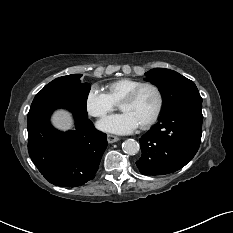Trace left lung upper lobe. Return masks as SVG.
Returning <instances> with one entry per match:
<instances>
[{
  "label": "left lung upper lobe",
  "instance_id": "left-lung-upper-lobe-1",
  "mask_svg": "<svg viewBox=\"0 0 233 233\" xmlns=\"http://www.w3.org/2000/svg\"><path fill=\"white\" fill-rule=\"evenodd\" d=\"M145 75V80L156 85L162 94V113L183 104L202 103L196 85L173 70L154 68Z\"/></svg>",
  "mask_w": 233,
  "mask_h": 233
}]
</instances>
